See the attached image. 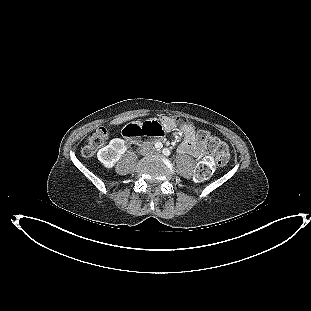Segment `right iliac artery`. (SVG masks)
Returning <instances> with one entry per match:
<instances>
[{
    "instance_id": "right-iliac-artery-1",
    "label": "right iliac artery",
    "mask_w": 311,
    "mask_h": 311,
    "mask_svg": "<svg viewBox=\"0 0 311 311\" xmlns=\"http://www.w3.org/2000/svg\"><path fill=\"white\" fill-rule=\"evenodd\" d=\"M162 147H163V145H162V143H161V142H157V143H155V148H156L157 150H161V149H162Z\"/></svg>"
}]
</instances>
